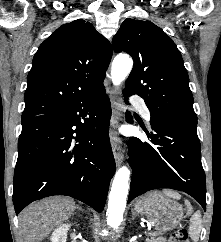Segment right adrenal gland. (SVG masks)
<instances>
[{"label": "right adrenal gland", "instance_id": "2a0ac1e0", "mask_svg": "<svg viewBox=\"0 0 221 242\" xmlns=\"http://www.w3.org/2000/svg\"><path fill=\"white\" fill-rule=\"evenodd\" d=\"M77 209L79 210V211H82V212H86L82 207H80V206H77Z\"/></svg>", "mask_w": 221, "mask_h": 242}]
</instances>
